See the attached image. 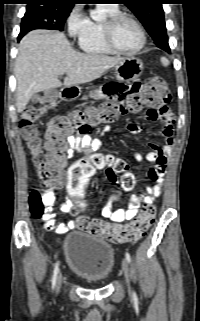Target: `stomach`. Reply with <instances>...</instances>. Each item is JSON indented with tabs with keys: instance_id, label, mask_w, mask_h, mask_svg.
<instances>
[{
	"instance_id": "1",
	"label": "stomach",
	"mask_w": 200,
	"mask_h": 321,
	"mask_svg": "<svg viewBox=\"0 0 200 321\" xmlns=\"http://www.w3.org/2000/svg\"><path fill=\"white\" fill-rule=\"evenodd\" d=\"M143 71V63L139 58L128 57L115 66L117 80L132 81L140 77ZM81 95L79 86L65 87L60 92V97L65 100H75Z\"/></svg>"
}]
</instances>
